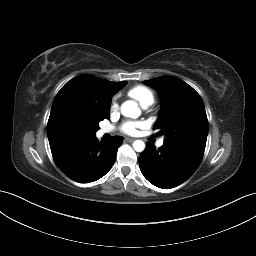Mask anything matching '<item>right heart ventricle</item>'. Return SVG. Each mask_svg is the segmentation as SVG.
Wrapping results in <instances>:
<instances>
[{
	"label": "right heart ventricle",
	"mask_w": 256,
	"mask_h": 256,
	"mask_svg": "<svg viewBox=\"0 0 256 256\" xmlns=\"http://www.w3.org/2000/svg\"><path fill=\"white\" fill-rule=\"evenodd\" d=\"M127 95L136 100L142 107H148L154 103L155 94L152 89L144 85H136L127 91Z\"/></svg>",
	"instance_id": "right-heart-ventricle-1"
}]
</instances>
